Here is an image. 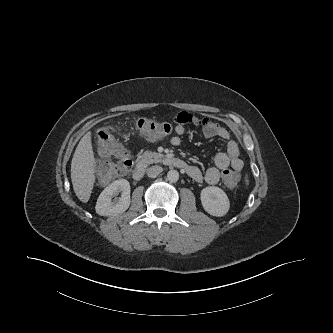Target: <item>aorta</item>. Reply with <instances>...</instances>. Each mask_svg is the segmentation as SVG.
I'll return each instance as SVG.
<instances>
[{"mask_svg": "<svg viewBox=\"0 0 333 333\" xmlns=\"http://www.w3.org/2000/svg\"><path fill=\"white\" fill-rule=\"evenodd\" d=\"M167 179H168L169 182H172V183L177 182L178 179H179V173H178V171H176V170H170L167 173Z\"/></svg>", "mask_w": 333, "mask_h": 333, "instance_id": "762f6f07", "label": "aorta"}]
</instances>
